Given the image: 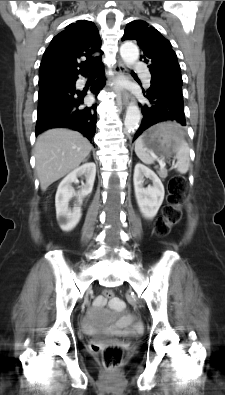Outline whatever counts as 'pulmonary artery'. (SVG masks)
<instances>
[{"label":"pulmonary artery","instance_id":"e3ab8cb5","mask_svg":"<svg viewBox=\"0 0 225 395\" xmlns=\"http://www.w3.org/2000/svg\"><path fill=\"white\" fill-rule=\"evenodd\" d=\"M135 68L141 73L145 84L149 86L151 82L150 72L146 69V67L142 63L139 62L135 63Z\"/></svg>","mask_w":225,"mask_h":395}]
</instances>
